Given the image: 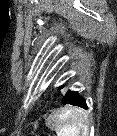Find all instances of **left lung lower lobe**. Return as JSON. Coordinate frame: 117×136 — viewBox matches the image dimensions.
<instances>
[{
  "mask_svg": "<svg viewBox=\"0 0 117 136\" xmlns=\"http://www.w3.org/2000/svg\"><path fill=\"white\" fill-rule=\"evenodd\" d=\"M63 103L87 109L85 99L82 96H80V94L77 91H74L72 89H68L67 92L64 94Z\"/></svg>",
  "mask_w": 117,
  "mask_h": 136,
  "instance_id": "obj_1",
  "label": "left lung lower lobe"
}]
</instances>
